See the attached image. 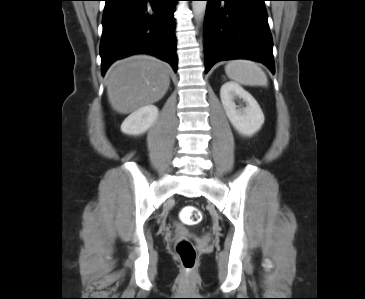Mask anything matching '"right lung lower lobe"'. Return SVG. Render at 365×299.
I'll return each instance as SVG.
<instances>
[{
    "mask_svg": "<svg viewBox=\"0 0 365 299\" xmlns=\"http://www.w3.org/2000/svg\"><path fill=\"white\" fill-rule=\"evenodd\" d=\"M178 0H105L100 42L102 75L117 59L148 53L177 71L175 21Z\"/></svg>",
    "mask_w": 365,
    "mask_h": 299,
    "instance_id": "right-lung-lower-lobe-1",
    "label": "right lung lower lobe"
}]
</instances>
